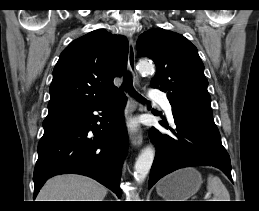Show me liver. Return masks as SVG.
<instances>
[{
    "label": "liver",
    "instance_id": "6515ba94",
    "mask_svg": "<svg viewBox=\"0 0 259 211\" xmlns=\"http://www.w3.org/2000/svg\"><path fill=\"white\" fill-rule=\"evenodd\" d=\"M107 189L97 181L81 175H60L49 179L37 201H103Z\"/></svg>",
    "mask_w": 259,
    "mask_h": 211
}]
</instances>
